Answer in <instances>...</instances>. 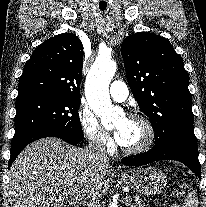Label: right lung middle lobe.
<instances>
[{
    "label": "right lung middle lobe",
    "instance_id": "dd1d6c3e",
    "mask_svg": "<svg viewBox=\"0 0 206 207\" xmlns=\"http://www.w3.org/2000/svg\"><path fill=\"white\" fill-rule=\"evenodd\" d=\"M80 98L35 95L16 100L15 134L12 145L46 130L84 138L78 109Z\"/></svg>",
    "mask_w": 206,
    "mask_h": 207
}]
</instances>
